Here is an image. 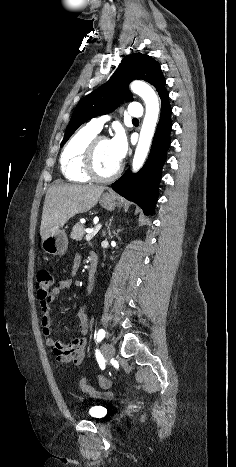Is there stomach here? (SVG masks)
<instances>
[{"label":"stomach","instance_id":"stomach-1","mask_svg":"<svg viewBox=\"0 0 236 467\" xmlns=\"http://www.w3.org/2000/svg\"><path fill=\"white\" fill-rule=\"evenodd\" d=\"M100 205L107 210H114L120 206V201L116 200L113 196L106 193L100 198ZM42 249L45 253L51 255H63L68 247V238L64 230L58 229L56 232L50 234L47 238L42 240Z\"/></svg>","mask_w":236,"mask_h":467}]
</instances>
